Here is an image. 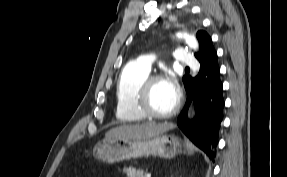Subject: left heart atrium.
Segmentation results:
<instances>
[{
	"label": "left heart atrium",
	"instance_id": "39dd6f15",
	"mask_svg": "<svg viewBox=\"0 0 287 177\" xmlns=\"http://www.w3.org/2000/svg\"><path fill=\"white\" fill-rule=\"evenodd\" d=\"M168 85L174 90L176 91V84H175V81L172 79V78H168L165 80Z\"/></svg>",
	"mask_w": 287,
	"mask_h": 177
}]
</instances>
